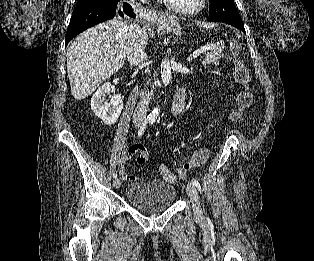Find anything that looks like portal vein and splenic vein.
<instances>
[{
    "label": "portal vein and splenic vein",
    "mask_w": 314,
    "mask_h": 261,
    "mask_svg": "<svg viewBox=\"0 0 314 261\" xmlns=\"http://www.w3.org/2000/svg\"><path fill=\"white\" fill-rule=\"evenodd\" d=\"M213 48H214V45H207V46H204V47H202L201 49L196 50V51L193 53L192 57L195 59V58H197L201 53H203L204 51L212 50Z\"/></svg>",
    "instance_id": "1"
}]
</instances>
